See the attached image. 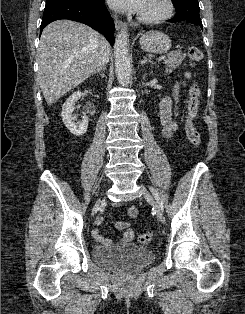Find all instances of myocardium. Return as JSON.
<instances>
[{"instance_id": "obj_1", "label": "myocardium", "mask_w": 245, "mask_h": 314, "mask_svg": "<svg viewBox=\"0 0 245 314\" xmlns=\"http://www.w3.org/2000/svg\"><path fill=\"white\" fill-rule=\"evenodd\" d=\"M161 3L163 5V11L160 14L152 17L139 15L138 20L143 24H157L169 19L174 11L173 2L172 0H161Z\"/></svg>"}]
</instances>
